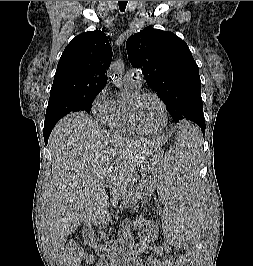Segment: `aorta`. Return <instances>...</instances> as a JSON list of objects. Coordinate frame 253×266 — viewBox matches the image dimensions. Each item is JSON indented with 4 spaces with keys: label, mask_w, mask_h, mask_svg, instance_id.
Here are the masks:
<instances>
[{
    "label": "aorta",
    "mask_w": 253,
    "mask_h": 266,
    "mask_svg": "<svg viewBox=\"0 0 253 266\" xmlns=\"http://www.w3.org/2000/svg\"><path fill=\"white\" fill-rule=\"evenodd\" d=\"M123 64L121 62H114L111 64L107 76L111 78L116 85L121 83V74L123 72Z\"/></svg>",
    "instance_id": "aorta-1"
}]
</instances>
